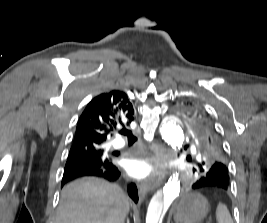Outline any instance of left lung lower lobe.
<instances>
[{
  "mask_svg": "<svg viewBox=\"0 0 267 223\" xmlns=\"http://www.w3.org/2000/svg\"><path fill=\"white\" fill-rule=\"evenodd\" d=\"M184 182H190L189 192L197 194L229 195L231 187H235L227 171H193Z\"/></svg>",
  "mask_w": 267,
  "mask_h": 223,
  "instance_id": "0a47b994",
  "label": "left lung lower lobe"
}]
</instances>
